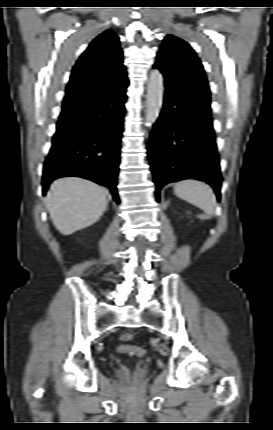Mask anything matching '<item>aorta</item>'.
Masks as SVG:
<instances>
[{
	"mask_svg": "<svg viewBox=\"0 0 273 430\" xmlns=\"http://www.w3.org/2000/svg\"><path fill=\"white\" fill-rule=\"evenodd\" d=\"M163 75L156 69L150 74L147 87V108L145 121L147 126H151L159 117L163 103L164 83Z\"/></svg>",
	"mask_w": 273,
	"mask_h": 430,
	"instance_id": "obj_1",
	"label": "aorta"
}]
</instances>
